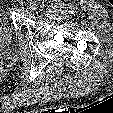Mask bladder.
Masks as SVG:
<instances>
[{
    "instance_id": "1",
    "label": "bladder",
    "mask_w": 113,
    "mask_h": 113,
    "mask_svg": "<svg viewBox=\"0 0 113 113\" xmlns=\"http://www.w3.org/2000/svg\"><path fill=\"white\" fill-rule=\"evenodd\" d=\"M13 41V32L7 20L5 11L0 6V52Z\"/></svg>"
}]
</instances>
